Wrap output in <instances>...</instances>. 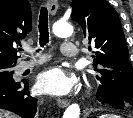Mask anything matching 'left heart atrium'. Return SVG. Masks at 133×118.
Segmentation results:
<instances>
[{"label": "left heart atrium", "instance_id": "left-heart-atrium-1", "mask_svg": "<svg viewBox=\"0 0 133 118\" xmlns=\"http://www.w3.org/2000/svg\"><path fill=\"white\" fill-rule=\"evenodd\" d=\"M74 77L61 67H51L37 78L39 92L53 96L68 94L74 85Z\"/></svg>", "mask_w": 133, "mask_h": 118}]
</instances>
